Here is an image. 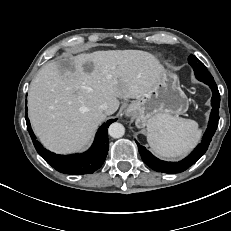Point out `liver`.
<instances>
[{"label": "liver", "mask_w": 231, "mask_h": 231, "mask_svg": "<svg viewBox=\"0 0 231 231\" xmlns=\"http://www.w3.org/2000/svg\"><path fill=\"white\" fill-rule=\"evenodd\" d=\"M164 71L153 54L141 50L96 51L50 62L28 92L33 129L53 152L80 151L107 116L99 110L101 104L115 113L118 98L143 97Z\"/></svg>", "instance_id": "1"}]
</instances>
